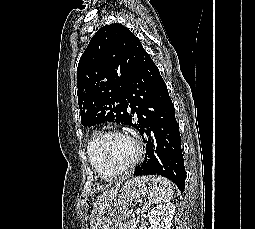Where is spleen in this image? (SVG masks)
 Returning a JSON list of instances; mask_svg holds the SVG:
<instances>
[{"mask_svg": "<svg viewBox=\"0 0 255 229\" xmlns=\"http://www.w3.org/2000/svg\"><path fill=\"white\" fill-rule=\"evenodd\" d=\"M155 182L156 188L149 194L150 200L154 203L169 202L173 196L170 181L164 177H157Z\"/></svg>", "mask_w": 255, "mask_h": 229, "instance_id": "3e777b00", "label": "spleen"}]
</instances>
